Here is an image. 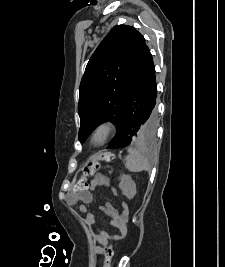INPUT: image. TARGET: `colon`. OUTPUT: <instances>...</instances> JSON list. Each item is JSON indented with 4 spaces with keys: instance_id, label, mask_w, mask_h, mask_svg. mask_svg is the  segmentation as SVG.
Returning <instances> with one entry per match:
<instances>
[{
    "instance_id": "colon-1",
    "label": "colon",
    "mask_w": 225,
    "mask_h": 267,
    "mask_svg": "<svg viewBox=\"0 0 225 267\" xmlns=\"http://www.w3.org/2000/svg\"><path fill=\"white\" fill-rule=\"evenodd\" d=\"M114 157L110 152H101L96 156L89 159L83 169L80 178L76 181L73 187V191L75 193H82L87 190L88 188V181L89 178L97 171L99 168V161L104 162H111L113 161ZM114 255L113 245L109 243L105 250V258L103 267H111L112 258Z\"/></svg>"
}]
</instances>
